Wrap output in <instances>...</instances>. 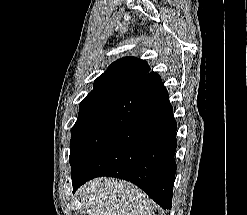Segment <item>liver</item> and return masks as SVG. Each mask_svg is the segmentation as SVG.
Returning <instances> with one entry per match:
<instances>
[{"instance_id": "liver-1", "label": "liver", "mask_w": 247, "mask_h": 215, "mask_svg": "<svg viewBox=\"0 0 247 215\" xmlns=\"http://www.w3.org/2000/svg\"><path fill=\"white\" fill-rule=\"evenodd\" d=\"M89 215H155L152 202L137 187L111 178H98L78 190Z\"/></svg>"}]
</instances>
